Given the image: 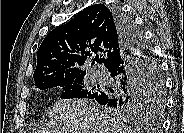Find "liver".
Here are the masks:
<instances>
[{
  "mask_svg": "<svg viewBox=\"0 0 184 133\" xmlns=\"http://www.w3.org/2000/svg\"><path fill=\"white\" fill-rule=\"evenodd\" d=\"M123 123L85 99L58 100L49 109L43 133H134Z\"/></svg>",
  "mask_w": 184,
  "mask_h": 133,
  "instance_id": "1",
  "label": "liver"
}]
</instances>
